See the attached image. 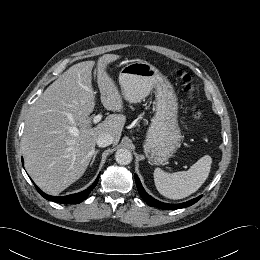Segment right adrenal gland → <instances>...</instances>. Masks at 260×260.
Masks as SVG:
<instances>
[{
    "label": "right adrenal gland",
    "mask_w": 260,
    "mask_h": 260,
    "mask_svg": "<svg viewBox=\"0 0 260 260\" xmlns=\"http://www.w3.org/2000/svg\"><path fill=\"white\" fill-rule=\"evenodd\" d=\"M98 152H99V150H96V151H95L94 156H93V158H92V161H91V163H90V166L93 165V163H94V161H95V158H96Z\"/></svg>",
    "instance_id": "2a0ac1e0"
}]
</instances>
